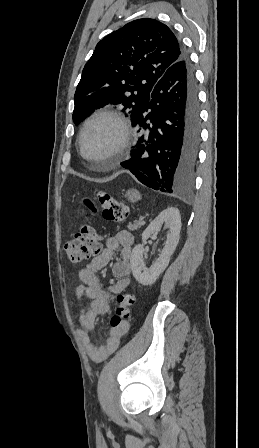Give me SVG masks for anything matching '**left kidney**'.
Instances as JSON below:
<instances>
[{
  "instance_id": "obj_1",
  "label": "left kidney",
  "mask_w": 259,
  "mask_h": 448,
  "mask_svg": "<svg viewBox=\"0 0 259 448\" xmlns=\"http://www.w3.org/2000/svg\"><path fill=\"white\" fill-rule=\"evenodd\" d=\"M162 224H165V228H169L166 244L158 260H156L150 268H145L143 264V254L145 250L142 244H138V246H135L134 250H132L130 258L132 274L135 280H137L139 284H142V286H152V284L156 282L158 276L166 270L170 262V256H172L177 248L181 230V216L178 208H167V210H163V212L149 224L148 228L144 230L142 240H148L151 234H155V232L161 228Z\"/></svg>"
}]
</instances>
